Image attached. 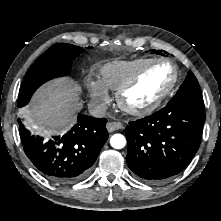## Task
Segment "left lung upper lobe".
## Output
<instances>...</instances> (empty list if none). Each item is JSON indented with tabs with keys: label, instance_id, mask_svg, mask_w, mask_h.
Segmentation results:
<instances>
[{
	"label": "left lung upper lobe",
	"instance_id": "obj_1",
	"mask_svg": "<svg viewBox=\"0 0 221 221\" xmlns=\"http://www.w3.org/2000/svg\"><path fill=\"white\" fill-rule=\"evenodd\" d=\"M169 104L175 108L204 112L201 89L195 75L191 71L188 72L186 79Z\"/></svg>",
	"mask_w": 221,
	"mask_h": 221
}]
</instances>
